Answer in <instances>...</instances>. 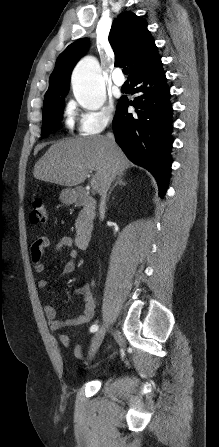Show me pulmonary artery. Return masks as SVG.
<instances>
[{
  "label": "pulmonary artery",
  "mask_w": 219,
  "mask_h": 447,
  "mask_svg": "<svg viewBox=\"0 0 219 447\" xmlns=\"http://www.w3.org/2000/svg\"><path fill=\"white\" fill-rule=\"evenodd\" d=\"M112 81H113L114 85L117 87L123 86L125 79L122 75L120 68H116L114 70L113 75H112Z\"/></svg>",
  "instance_id": "1"
}]
</instances>
